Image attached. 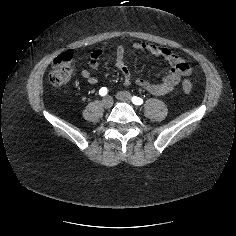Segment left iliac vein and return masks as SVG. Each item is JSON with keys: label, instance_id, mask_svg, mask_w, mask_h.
I'll list each match as a JSON object with an SVG mask.
<instances>
[{"label": "left iliac vein", "instance_id": "1", "mask_svg": "<svg viewBox=\"0 0 236 236\" xmlns=\"http://www.w3.org/2000/svg\"><path fill=\"white\" fill-rule=\"evenodd\" d=\"M117 99L123 102H131L132 96L129 92L127 91H120L116 95Z\"/></svg>", "mask_w": 236, "mask_h": 236}]
</instances>
